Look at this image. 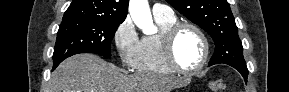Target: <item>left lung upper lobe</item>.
Returning <instances> with one entry per match:
<instances>
[{
    "label": "left lung upper lobe",
    "instance_id": "left-lung-upper-lobe-1",
    "mask_svg": "<svg viewBox=\"0 0 289 92\" xmlns=\"http://www.w3.org/2000/svg\"><path fill=\"white\" fill-rule=\"evenodd\" d=\"M166 1L213 38L215 51L209 66L219 63L246 66L238 29L226 0Z\"/></svg>",
    "mask_w": 289,
    "mask_h": 92
}]
</instances>
